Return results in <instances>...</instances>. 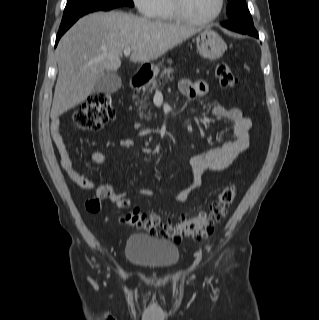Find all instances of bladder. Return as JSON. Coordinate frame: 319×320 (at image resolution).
I'll use <instances>...</instances> for the list:
<instances>
[{
  "label": "bladder",
  "instance_id": "31cf9c89",
  "mask_svg": "<svg viewBox=\"0 0 319 320\" xmlns=\"http://www.w3.org/2000/svg\"><path fill=\"white\" fill-rule=\"evenodd\" d=\"M125 254L130 262L154 270L174 267L180 258V251L173 241L144 234L128 236Z\"/></svg>",
  "mask_w": 319,
  "mask_h": 320
}]
</instances>
